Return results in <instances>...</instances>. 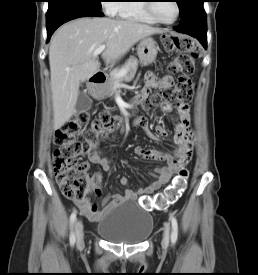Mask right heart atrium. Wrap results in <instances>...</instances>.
Returning a JSON list of instances; mask_svg holds the SVG:
<instances>
[{
	"mask_svg": "<svg viewBox=\"0 0 258 275\" xmlns=\"http://www.w3.org/2000/svg\"><path fill=\"white\" fill-rule=\"evenodd\" d=\"M106 9H107L108 13L113 14L116 10V3H107Z\"/></svg>",
	"mask_w": 258,
	"mask_h": 275,
	"instance_id": "right-heart-atrium-1",
	"label": "right heart atrium"
}]
</instances>
